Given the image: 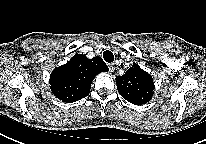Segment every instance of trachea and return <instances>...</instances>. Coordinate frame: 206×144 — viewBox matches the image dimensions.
<instances>
[{
    "instance_id": "trachea-1",
    "label": "trachea",
    "mask_w": 206,
    "mask_h": 144,
    "mask_svg": "<svg viewBox=\"0 0 206 144\" xmlns=\"http://www.w3.org/2000/svg\"><path fill=\"white\" fill-rule=\"evenodd\" d=\"M103 58L106 62L108 63H111L114 61V55L111 51L109 50H106L104 53H103Z\"/></svg>"
}]
</instances>
